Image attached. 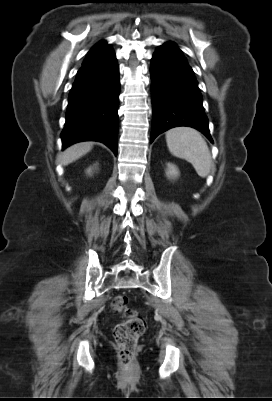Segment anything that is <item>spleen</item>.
Here are the masks:
<instances>
[{"mask_svg":"<svg viewBox=\"0 0 272 401\" xmlns=\"http://www.w3.org/2000/svg\"><path fill=\"white\" fill-rule=\"evenodd\" d=\"M169 151L190 162L197 174L205 178L210 173L212 158L206 141L195 129L178 127L167 131Z\"/></svg>","mask_w":272,"mask_h":401,"instance_id":"3e777b00","label":"spleen"}]
</instances>
